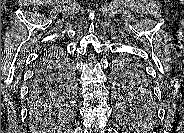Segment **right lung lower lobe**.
Segmentation results:
<instances>
[{
  "label": "right lung lower lobe",
  "mask_w": 184,
  "mask_h": 133,
  "mask_svg": "<svg viewBox=\"0 0 184 133\" xmlns=\"http://www.w3.org/2000/svg\"><path fill=\"white\" fill-rule=\"evenodd\" d=\"M39 78H40V72H39V63H38V65L36 66V69H35V76H34L33 83H32V86L30 88V91L32 90L33 85H35L36 83L39 82V81H36Z\"/></svg>",
  "instance_id": "1"
}]
</instances>
